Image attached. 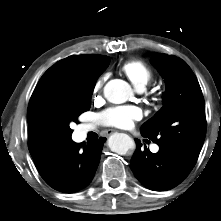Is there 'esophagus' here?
I'll return each instance as SVG.
<instances>
[{"label": "esophagus", "mask_w": 221, "mask_h": 221, "mask_svg": "<svg viewBox=\"0 0 221 221\" xmlns=\"http://www.w3.org/2000/svg\"><path fill=\"white\" fill-rule=\"evenodd\" d=\"M112 133H113V130H111V129L105 131L106 135H111Z\"/></svg>", "instance_id": "obj_1"}]
</instances>
